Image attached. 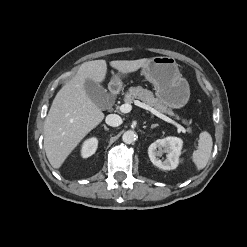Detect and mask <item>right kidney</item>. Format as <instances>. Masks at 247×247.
<instances>
[{
	"mask_svg": "<svg viewBox=\"0 0 247 247\" xmlns=\"http://www.w3.org/2000/svg\"><path fill=\"white\" fill-rule=\"evenodd\" d=\"M98 146V139L95 137L86 140L81 149V156L88 158L96 152Z\"/></svg>",
	"mask_w": 247,
	"mask_h": 247,
	"instance_id": "ca27d5eb",
	"label": "right kidney"
}]
</instances>
